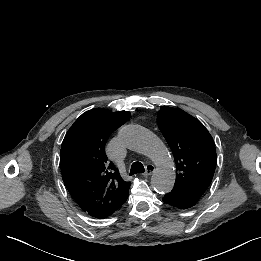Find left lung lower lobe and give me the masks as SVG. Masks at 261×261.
<instances>
[{"label":"left lung lower lobe","mask_w":261,"mask_h":261,"mask_svg":"<svg viewBox=\"0 0 261 261\" xmlns=\"http://www.w3.org/2000/svg\"><path fill=\"white\" fill-rule=\"evenodd\" d=\"M200 198L194 197L184 191L173 188V190L163 197V201L178 209H188L194 206Z\"/></svg>","instance_id":"1"}]
</instances>
